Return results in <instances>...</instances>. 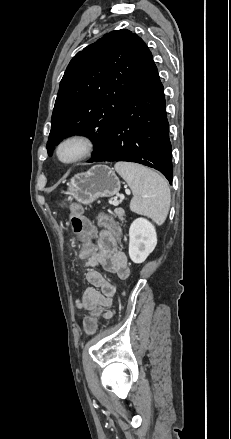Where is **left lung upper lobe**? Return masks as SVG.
Returning a JSON list of instances; mask_svg holds the SVG:
<instances>
[{
    "label": "left lung upper lobe",
    "mask_w": 231,
    "mask_h": 439,
    "mask_svg": "<svg viewBox=\"0 0 231 439\" xmlns=\"http://www.w3.org/2000/svg\"><path fill=\"white\" fill-rule=\"evenodd\" d=\"M151 60L145 42L129 30L105 34L78 52L60 82L47 142L48 154L52 155L62 139L82 134L95 144L91 160L94 159Z\"/></svg>",
    "instance_id": "1"
}]
</instances>
